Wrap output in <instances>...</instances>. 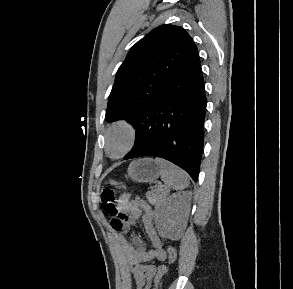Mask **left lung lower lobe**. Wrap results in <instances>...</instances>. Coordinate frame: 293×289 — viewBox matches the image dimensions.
I'll return each mask as SVG.
<instances>
[{
    "label": "left lung lower lobe",
    "instance_id": "left-lung-lower-lobe-1",
    "mask_svg": "<svg viewBox=\"0 0 293 289\" xmlns=\"http://www.w3.org/2000/svg\"><path fill=\"white\" fill-rule=\"evenodd\" d=\"M206 104L199 58L134 124L135 144L125 159L160 157L184 169L197 182Z\"/></svg>",
    "mask_w": 293,
    "mask_h": 289
}]
</instances>
